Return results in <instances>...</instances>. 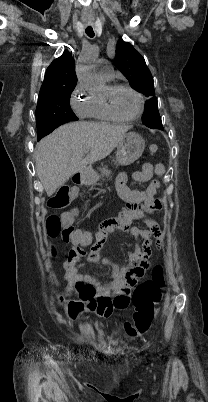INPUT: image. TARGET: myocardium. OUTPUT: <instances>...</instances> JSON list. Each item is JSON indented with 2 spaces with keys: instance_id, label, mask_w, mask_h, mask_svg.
Here are the masks:
<instances>
[{
  "instance_id": "obj_1",
  "label": "myocardium",
  "mask_w": 208,
  "mask_h": 402,
  "mask_svg": "<svg viewBox=\"0 0 208 402\" xmlns=\"http://www.w3.org/2000/svg\"><path fill=\"white\" fill-rule=\"evenodd\" d=\"M119 89H127L129 91H131L132 93H134L138 99H139V109L137 111V113L131 117H124L121 116L114 108L113 105V97L114 94L119 90ZM103 95V100L105 102V105L109 111V113L118 121H123V122H129V121H134L136 119H138L143 111H144V106H145V99L144 96L137 91L136 89H134L131 86L128 85H124V84H119V85H113V86H108L104 89V91L102 92Z\"/></svg>"
}]
</instances>
